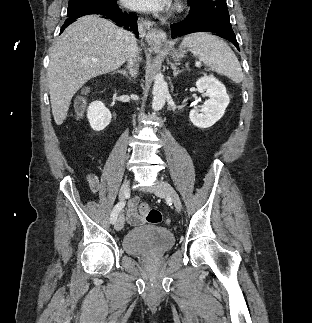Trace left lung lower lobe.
<instances>
[{
	"label": "left lung lower lobe",
	"instance_id": "0a47b994",
	"mask_svg": "<svg viewBox=\"0 0 312 323\" xmlns=\"http://www.w3.org/2000/svg\"><path fill=\"white\" fill-rule=\"evenodd\" d=\"M226 7L222 3L210 4L197 17L191 19L186 17L183 21L171 24L172 37L195 32H211L233 42L239 50L236 36L230 24L228 10H225Z\"/></svg>",
	"mask_w": 312,
	"mask_h": 323
}]
</instances>
